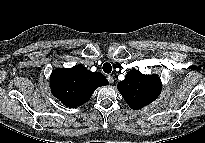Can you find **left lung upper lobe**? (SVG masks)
Segmentation results:
<instances>
[{"mask_svg":"<svg viewBox=\"0 0 205 143\" xmlns=\"http://www.w3.org/2000/svg\"><path fill=\"white\" fill-rule=\"evenodd\" d=\"M130 108L137 110L153 102L161 92V79L157 75H144L140 71H129L117 85Z\"/></svg>","mask_w":205,"mask_h":143,"instance_id":"obj_1","label":"left lung upper lobe"}]
</instances>
